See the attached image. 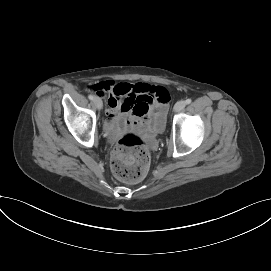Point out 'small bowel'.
Wrapping results in <instances>:
<instances>
[{
	"mask_svg": "<svg viewBox=\"0 0 271 271\" xmlns=\"http://www.w3.org/2000/svg\"><path fill=\"white\" fill-rule=\"evenodd\" d=\"M98 96L107 102L105 128L111 134L123 127L143 129L164 123L168 91L147 83L129 84L107 80L96 85Z\"/></svg>",
	"mask_w": 271,
	"mask_h": 271,
	"instance_id": "c3829d8e",
	"label": "small bowel"
}]
</instances>
